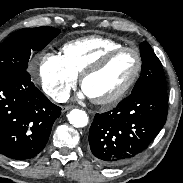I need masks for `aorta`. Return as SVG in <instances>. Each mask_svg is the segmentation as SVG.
<instances>
[{"mask_svg": "<svg viewBox=\"0 0 183 183\" xmlns=\"http://www.w3.org/2000/svg\"><path fill=\"white\" fill-rule=\"evenodd\" d=\"M69 122L77 128L85 127L88 124V116L87 113L80 109H73L68 114Z\"/></svg>", "mask_w": 183, "mask_h": 183, "instance_id": "aorta-1", "label": "aorta"}]
</instances>
